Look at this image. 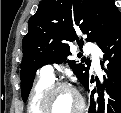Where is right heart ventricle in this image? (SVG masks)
Listing matches in <instances>:
<instances>
[{
  "instance_id": "e07e8e85",
  "label": "right heart ventricle",
  "mask_w": 121,
  "mask_h": 113,
  "mask_svg": "<svg viewBox=\"0 0 121 113\" xmlns=\"http://www.w3.org/2000/svg\"><path fill=\"white\" fill-rule=\"evenodd\" d=\"M52 83V78L41 76L38 80L30 101L31 109H42V98L44 90Z\"/></svg>"
}]
</instances>
